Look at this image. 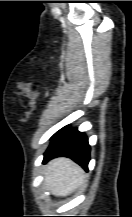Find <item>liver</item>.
<instances>
[{
    "mask_svg": "<svg viewBox=\"0 0 132 217\" xmlns=\"http://www.w3.org/2000/svg\"><path fill=\"white\" fill-rule=\"evenodd\" d=\"M44 182L54 196L66 197L85 180L84 170L69 158L51 160L45 170Z\"/></svg>",
    "mask_w": 132,
    "mask_h": 217,
    "instance_id": "6515ba94",
    "label": "liver"
}]
</instances>
